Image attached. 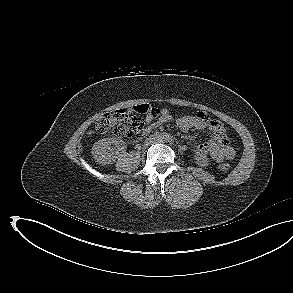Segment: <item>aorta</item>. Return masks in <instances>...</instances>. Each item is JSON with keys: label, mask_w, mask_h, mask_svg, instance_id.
<instances>
[{"label": "aorta", "mask_w": 293, "mask_h": 293, "mask_svg": "<svg viewBox=\"0 0 293 293\" xmlns=\"http://www.w3.org/2000/svg\"><path fill=\"white\" fill-rule=\"evenodd\" d=\"M167 139H168V136H167V135H163V136H162V140H163V141H166Z\"/></svg>", "instance_id": "762f6f07"}]
</instances>
